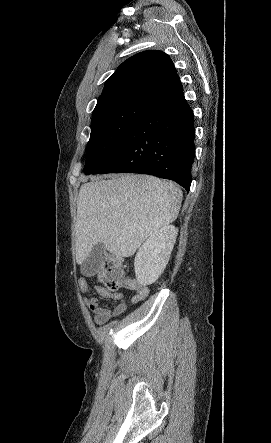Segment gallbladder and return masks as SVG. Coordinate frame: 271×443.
<instances>
[{"label":"gallbladder","instance_id":"obj_1","mask_svg":"<svg viewBox=\"0 0 271 443\" xmlns=\"http://www.w3.org/2000/svg\"><path fill=\"white\" fill-rule=\"evenodd\" d=\"M105 253H107V249L104 247V243H96L95 247H93V251H91L87 259L81 263V273L88 278L93 277L94 273H100V263L105 259Z\"/></svg>","mask_w":271,"mask_h":443}]
</instances>
